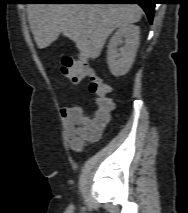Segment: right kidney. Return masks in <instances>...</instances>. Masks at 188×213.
<instances>
[{
    "label": "right kidney",
    "mask_w": 188,
    "mask_h": 213,
    "mask_svg": "<svg viewBox=\"0 0 188 213\" xmlns=\"http://www.w3.org/2000/svg\"><path fill=\"white\" fill-rule=\"evenodd\" d=\"M140 28L129 24L119 27L111 37L107 50V63L110 72L118 77L131 68L139 47ZM124 46L118 48V46Z\"/></svg>",
    "instance_id": "right-kidney-1"
}]
</instances>
